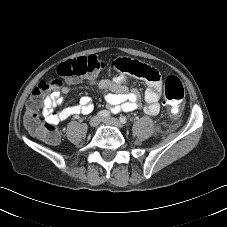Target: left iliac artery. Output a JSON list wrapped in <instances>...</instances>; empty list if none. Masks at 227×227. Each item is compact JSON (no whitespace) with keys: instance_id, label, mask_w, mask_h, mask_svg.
<instances>
[{"instance_id":"obj_1","label":"left iliac artery","mask_w":227,"mask_h":227,"mask_svg":"<svg viewBox=\"0 0 227 227\" xmlns=\"http://www.w3.org/2000/svg\"><path fill=\"white\" fill-rule=\"evenodd\" d=\"M120 122H121L122 124L127 123V117H126V116H121V117H120Z\"/></svg>"}]
</instances>
